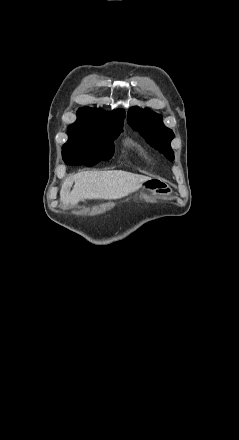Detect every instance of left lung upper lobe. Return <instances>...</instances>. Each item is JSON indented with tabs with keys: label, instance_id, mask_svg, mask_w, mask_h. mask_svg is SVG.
<instances>
[{
	"label": "left lung upper lobe",
	"instance_id": "obj_1",
	"mask_svg": "<svg viewBox=\"0 0 239 440\" xmlns=\"http://www.w3.org/2000/svg\"><path fill=\"white\" fill-rule=\"evenodd\" d=\"M128 123L134 130L139 131L155 149L173 161L174 154L170 142L174 133L163 124L160 115L148 109L132 107L128 112Z\"/></svg>",
	"mask_w": 239,
	"mask_h": 440
}]
</instances>
